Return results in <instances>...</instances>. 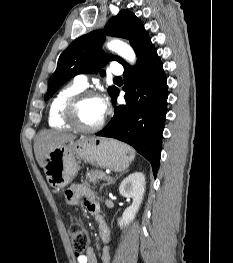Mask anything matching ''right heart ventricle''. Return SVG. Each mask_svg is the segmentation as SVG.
Masks as SVG:
<instances>
[{"mask_svg":"<svg viewBox=\"0 0 233 263\" xmlns=\"http://www.w3.org/2000/svg\"><path fill=\"white\" fill-rule=\"evenodd\" d=\"M75 82L60 89L51 100L48 110V123L55 129H69L71 125L64 118V110L68 100L80 91H83Z\"/></svg>","mask_w":233,"mask_h":263,"instance_id":"obj_1","label":"right heart ventricle"}]
</instances>
